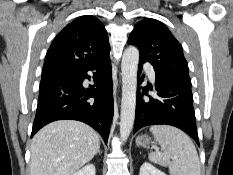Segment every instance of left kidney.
Returning a JSON list of instances; mask_svg holds the SVG:
<instances>
[{
  "label": "left kidney",
  "mask_w": 233,
  "mask_h": 175,
  "mask_svg": "<svg viewBox=\"0 0 233 175\" xmlns=\"http://www.w3.org/2000/svg\"><path fill=\"white\" fill-rule=\"evenodd\" d=\"M139 175H166V174L164 172H162L161 170L155 168L150 163L145 162L140 167V174Z\"/></svg>",
  "instance_id": "left-kidney-1"
}]
</instances>
